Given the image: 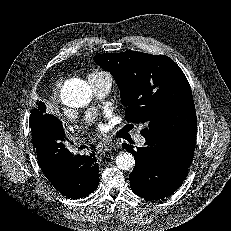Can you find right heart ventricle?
<instances>
[{
    "mask_svg": "<svg viewBox=\"0 0 231 231\" xmlns=\"http://www.w3.org/2000/svg\"><path fill=\"white\" fill-rule=\"evenodd\" d=\"M92 78H110L111 79V75L107 71H104V70H95L89 75V79H92Z\"/></svg>",
    "mask_w": 231,
    "mask_h": 231,
    "instance_id": "e07e8e85",
    "label": "right heart ventricle"
}]
</instances>
